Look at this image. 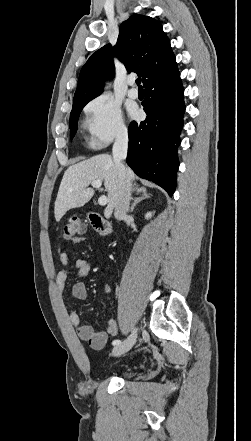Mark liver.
<instances>
[{
    "mask_svg": "<svg viewBox=\"0 0 251 441\" xmlns=\"http://www.w3.org/2000/svg\"><path fill=\"white\" fill-rule=\"evenodd\" d=\"M130 181L135 180L134 172L126 167ZM104 181L108 192V204L104 210V216L109 218L115 209L119 196L118 168L114 159L108 154H100L71 165L65 171L57 198L55 201L54 214L57 222L73 208L84 206L94 195L92 188H87L93 181ZM136 186V183H134ZM137 192L144 188H138Z\"/></svg>",
    "mask_w": 251,
    "mask_h": 441,
    "instance_id": "liver-1",
    "label": "liver"
}]
</instances>
